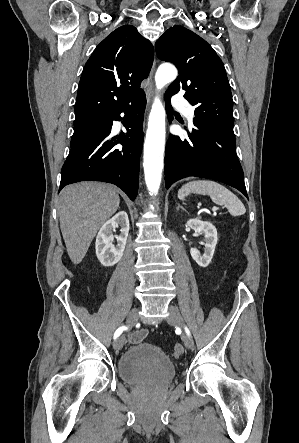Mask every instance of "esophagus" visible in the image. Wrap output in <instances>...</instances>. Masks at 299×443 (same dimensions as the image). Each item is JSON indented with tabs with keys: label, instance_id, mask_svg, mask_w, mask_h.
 <instances>
[{
	"label": "esophagus",
	"instance_id": "esophagus-1",
	"mask_svg": "<svg viewBox=\"0 0 299 443\" xmlns=\"http://www.w3.org/2000/svg\"><path fill=\"white\" fill-rule=\"evenodd\" d=\"M155 67H156V60H154V63H153V67H152L150 77H149V84H148V88L146 91L147 108L149 107L151 100H152V96H153V75H154Z\"/></svg>",
	"mask_w": 299,
	"mask_h": 443
}]
</instances>
